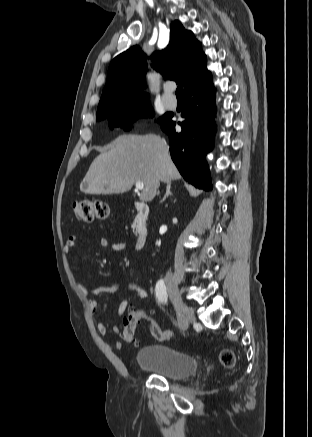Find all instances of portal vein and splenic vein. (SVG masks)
Here are the masks:
<instances>
[{
  "label": "portal vein and splenic vein",
  "instance_id": "18ae733b",
  "mask_svg": "<svg viewBox=\"0 0 312 437\" xmlns=\"http://www.w3.org/2000/svg\"><path fill=\"white\" fill-rule=\"evenodd\" d=\"M137 190H142L144 188V183L141 181L136 182L135 184Z\"/></svg>",
  "mask_w": 312,
  "mask_h": 437
}]
</instances>
